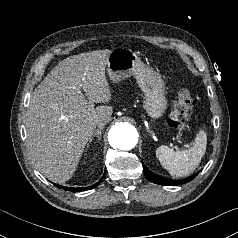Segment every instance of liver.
<instances>
[{"instance_id":"6515ba94","label":"liver","mask_w":238,"mask_h":238,"mask_svg":"<svg viewBox=\"0 0 238 238\" xmlns=\"http://www.w3.org/2000/svg\"><path fill=\"white\" fill-rule=\"evenodd\" d=\"M109 49L73 55L59 62L35 88L27 110V146L48 179L69 180L98 121L113 113L105 68Z\"/></svg>"}]
</instances>
